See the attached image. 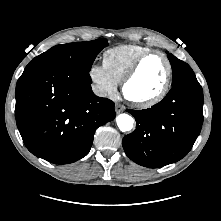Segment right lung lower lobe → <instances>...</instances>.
I'll use <instances>...</instances> for the list:
<instances>
[{
	"label": "right lung lower lobe",
	"mask_w": 221,
	"mask_h": 221,
	"mask_svg": "<svg viewBox=\"0 0 221 221\" xmlns=\"http://www.w3.org/2000/svg\"><path fill=\"white\" fill-rule=\"evenodd\" d=\"M89 72L61 65L26 66L16 85L15 117L27 149L54 164L86 156L96 129L116 116L96 96Z\"/></svg>",
	"instance_id": "right-lung-lower-lobe-1"
}]
</instances>
